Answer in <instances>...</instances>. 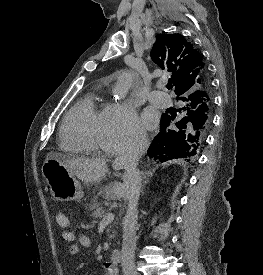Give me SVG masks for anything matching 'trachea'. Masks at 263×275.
<instances>
[{"mask_svg": "<svg viewBox=\"0 0 263 275\" xmlns=\"http://www.w3.org/2000/svg\"><path fill=\"white\" fill-rule=\"evenodd\" d=\"M167 89H168V90L172 89V82H168V84H167Z\"/></svg>", "mask_w": 263, "mask_h": 275, "instance_id": "trachea-1", "label": "trachea"}]
</instances>
